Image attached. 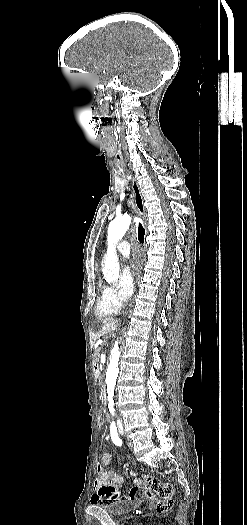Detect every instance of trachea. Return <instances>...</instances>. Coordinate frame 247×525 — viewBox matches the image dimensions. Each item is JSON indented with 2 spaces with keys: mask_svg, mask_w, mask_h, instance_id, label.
Instances as JSON below:
<instances>
[{
  "mask_svg": "<svg viewBox=\"0 0 247 525\" xmlns=\"http://www.w3.org/2000/svg\"><path fill=\"white\" fill-rule=\"evenodd\" d=\"M145 229L143 228L141 222L138 223V240L140 243H144Z\"/></svg>",
  "mask_w": 247,
  "mask_h": 525,
  "instance_id": "obj_1",
  "label": "trachea"
}]
</instances>
